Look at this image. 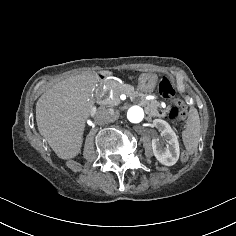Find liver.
<instances>
[{"instance_id": "liver-1", "label": "liver", "mask_w": 236, "mask_h": 236, "mask_svg": "<svg viewBox=\"0 0 236 236\" xmlns=\"http://www.w3.org/2000/svg\"><path fill=\"white\" fill-rule=\"evenodd\" d=\"M110 76L108 70L98 72ZM98 73H84L65 79L48 89L36 103L39 133L61 159L81 152L86 119L95 110L93 90L100 81Z\"/></svg>"}]
</instances>
